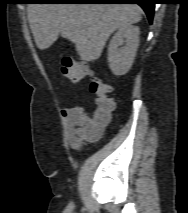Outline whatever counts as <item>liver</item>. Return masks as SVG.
<instances>
[{"mask_svg":"<svg viewBox=\"0 0 188 213\" xmlns=\"http://www.w3.org/2000/svg\"><path fill=\"white\" fill-rule=\"evenodd\" d=\"M27 13L40 50L61 35L81 57L94 61L116 29L141 20L142 9L136 4H29Z\"/></svg>","mask_w":188,"mask_h":213,"instance_id":"liver-1","label":"liver"}]
</instances>
